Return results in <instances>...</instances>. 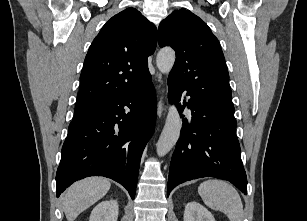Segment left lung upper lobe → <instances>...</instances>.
<instances>
[{
	"mask_svg": "<svg viewBox=\"0 0 307 221\" xmlns=\"http://www.w3.org/2000/svg\"><path fill=\"white\" fill-rule=\"evenodd\" d=\"M158 42L176 52L169 77L194 98L235 119L225 58L208 25L189 10H175L160 23Z\"/></svg>",
	"mask_w": 307,
	"mask_h": 221,
	"instance_id": "obj_1",
	"label": "left lung upper lobe"
}]
</instances>
